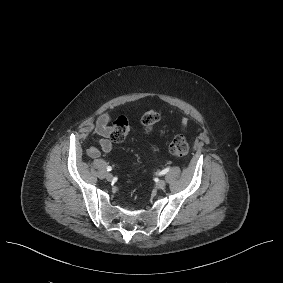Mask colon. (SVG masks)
Masks as SVG:
<instances>
[{"instance_id": "5ec220e1", "label": "colon", "mask_w": 283, "mask_h": 283, "mask_svg": "<svg viewBox=\"0 0 283 283\" xmlns=\"http://www.w3.org/2000/svg\"><path fill=\"white\" fill-rule=\"evenodd\" d=\"M160 115L156 110L150 109L144 112L141 118V124L145 131H151L159 122ZM130 122L126 116L118 117L112 126L111 139L115 143L122 142L129 134ZM170 153L177 157L183 158L189 152V144L185 137L177 135L169 145Z\"/></svg>"}]
</instances>
